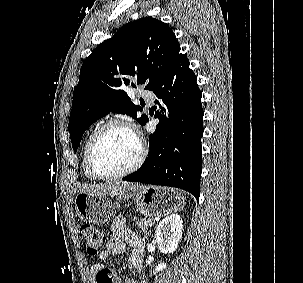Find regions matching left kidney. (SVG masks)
Here are the masks:
<instances>
[{
  "label": "left kidney",
  "mask_w": 303,
  "mask_h": 283,
  "mask_svg": "<svg viewBox=\"0 0 303 283\" xmlns=\"http://www.w3.org/2000/svg\"><path fill=\"white\" fill-rule=\"evenodd\" d=\"M183 221L179 215H171L163 219L156 228L155 238L162 253H173L182 238ZM166 268V263L156 266L153 274Z\"/></svg>",
  "instance_id": "5707ae66"
}]
</instances>
